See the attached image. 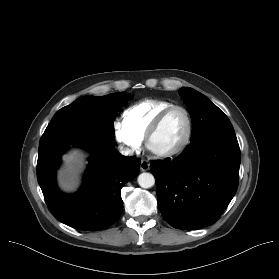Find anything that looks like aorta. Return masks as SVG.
I'll list each match as a JSON object with an SVG mask.
<instances>
[{
	"label": "aorta",
	"mask_w": 279,
	"mask_h": 279,
	"mask_svg": "<svg viewBox=\"0 0 279 279\" xmlns=\"http://www.w3.org/2000/svg\"><path fill=\"white\" fill-rule=\"evenodd\" d=\"M137 181H138V184L140 185V187L146 188V189L151 188L155 184L154 176L151 173H147V172L141 173L138 176Z\"/></svg>",
	"instance_id": "aorta-1"
}]
</instances>
